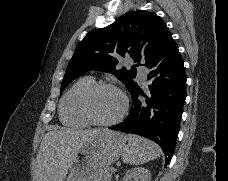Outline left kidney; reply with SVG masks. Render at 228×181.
I'll use <instances>...</instances> for the list:
<instances>
[{
  "mask_svg": "<svg viewBox=\"0 0 228 181\" xmlns=\"http://www.w3.org/2000/svg\"><path fill=\"white\" fill-rule=\"evenodd\" d=\"M122 181H151L150 171L144 167H135L123 175Z\"/></svg>",
  "mask_w": 228,
  "mask_h": 181,
  "instance_id": "5707ae66",
  "label": "left kidney"
}]
</instances>
